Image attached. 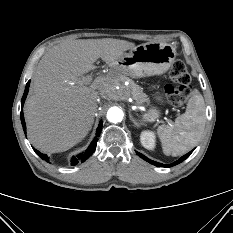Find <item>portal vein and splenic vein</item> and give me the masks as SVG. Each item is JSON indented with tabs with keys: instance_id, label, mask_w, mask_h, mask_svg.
Segmentation results:
<instances>
[{
	"instance_id": "obj_1",
	"label": "portal vein and splenic vein",
	"mask_w": 233,
	"mask_h": 233,
	"mask_svg": "<svg viewBox=\"0 0 233 233\" xmlns=\"http://www.w3.org/2000/svg\"><path fill=\"white\" fill-rule=\"evenodd\" d=\"M83 80H84V82L86 83V84H90V82H91V80H92V78L91 77H89V76H87V77H83Z\"/></svg>"
}]
</instances>
